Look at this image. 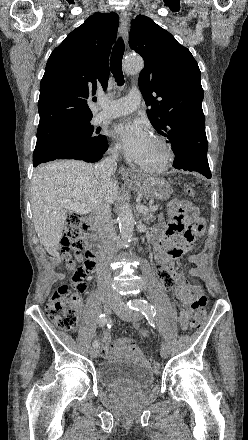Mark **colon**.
<instances>
[{
	"mask_svg": "<svg viewBox=\"0 0 248 440\" xmlns=\"http://www.w3.org/2000/svg\"><path fill=\"white\" fill-rule=\"evenodd\" d=\"M185 191L190 197L195 194L194 189L190 186ZM190 207L188 217L191 227L197 232L203 231L202 219L199 218L197 210L192 205ZM60 249L68 268L74 272L72 286L76 292H70L67 286L59 287L50 297L46 305V313L49 320L58 328L71 330L76 327L78 322L79 294L88 289L86 278L95 267L93 255L84 245L81 221L76 214L70 213L67 216ZM193 304L196 312L190 321V327L197 329L205 321L206 298L202 292L197 294ZM139 334L144 339L149 337V332L146 329H141Z\"/></svg>",
	"mask_w": 248,
	"mask_h": 440,
	"instance_id": "1",
	"label": "colon"
}]
</instances>
